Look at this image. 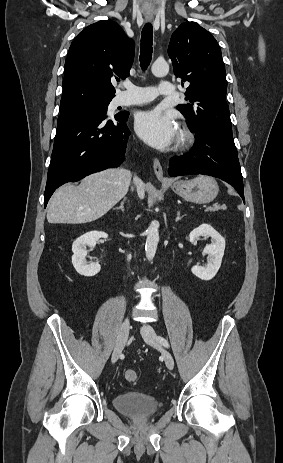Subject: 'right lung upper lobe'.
Segmentation results:
<instances>
[{
    "label": "right lung upper lobe",
    "instance_id": "obj_1",
    "mask_svg": "<svg viewBox=\"0 0 283 463\" xmlns=\"http://www.w3.org/2000/svg\"><path fill=\"white\" fill-rule=\"evenodd\" d=\"M134 53V41L116 22L102 20L86 27L69 48L60 110L112 99L111 78L130 75Z\"/></svg>",
    "mask_w": 283,
    "mask_h": 463
}]
</instances>
